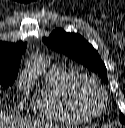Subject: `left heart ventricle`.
<instances>
[{
  "label": "left heart ventricle",
  "mask_w": 125,
  "mask_h": 128,
  "mask_svg": "<svg viewBox=\"0 0 125 128\" xmlns=\"http://www.w3.org/2000/svg\"><path fill=\"white\" fill-rule=\"evenodd\" d=\"M86 96L88 100L90 101L93 109L100 108V105H101L100 96L94 89L88 88L86 90Z\"/></svg>",
  "instance_id": "left-heart-ventricle-1"
}]
</instances>
